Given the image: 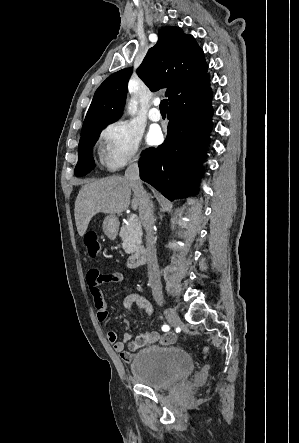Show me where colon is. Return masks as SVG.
Instances as JSON below:
<instances>
[{
    "label": "colon",
    "instance_id": "colon-1",
    "mask_svg": "<svg viewBox=\"0 0 299 443\" xmlns=\"http://www.w3.org/2000/svg\"><path fill=\"white\" fill-rule=\"evenodd\" d=\"M84 245L86 247L87 253L90 257H96L101 252V246L98 240V236L95 232L88 231L84 234ZM209 351L208 347L204 348V353Z\"/></svg>",
    "mask_w": 299,
    "mask_h": 443
}]
</instances>
